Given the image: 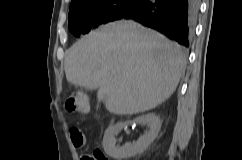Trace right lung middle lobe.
I'll list each match as a JSON object with an SVG mask.
<instances>
[{
	"label": "right lung middle lobe",
	"instance_id": "dd1d6c3e",
	"mask_svg": "<svg viewBox=\"0 0 242 160\" xmlns=\"http://www.w3.org/2000/svg\"><path fill=\"white\" fill-rule=\"evenodd\" d=\"M143 0H83L70 6L68 27L78 37L92 27L121 19Z\"/></svg>",
	"mask_w": 242,
	"mask_h": 160
}]
</instances>
